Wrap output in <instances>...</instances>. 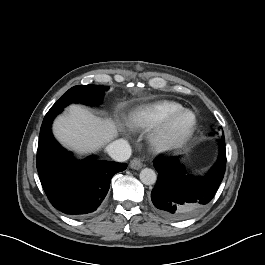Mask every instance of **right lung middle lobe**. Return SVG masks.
I'll use <instances>...</instances> for the list:
<instances>
[{
  "label": "right lung middle lobe",
  "mask_w": 265,
  "mask_h": 265,
  "mask_svg": "<svg viewBox=\"0 0 265 265\" xmlns=\"http://www.w3.org/2000/svg\"><path fill=\"white\" fill-rule=\"evenodd\" d=\"M109 87L100 85H77L70 88L51 109H63L70 103L96 105L101 103L102 97Z\"/></svg>",
  "instance_id": "right-lung-middle-lobe-1"
}]
</instances>
